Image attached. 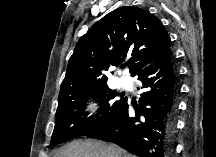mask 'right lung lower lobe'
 <instances>
[{"mask_svg": "<svg viewBox=\"0 0 216 157\" xmlns=\"http://www.w3.org/2000/svg\"><path fill=\"white\" fill-rule=\"evenodd\" d=\"M136 76L145 88L136 115L129 113L126 98L107 124L86 137L113 142L138 157H171L179 92L171 50Z\"/></svg>", "mask_w": 216, "mask_h": 157, "instance_id": "98d812e1", "label": "right lung lower lobe"}]
</instances>
